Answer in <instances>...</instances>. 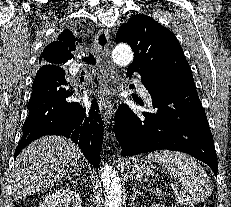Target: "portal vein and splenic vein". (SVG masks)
I'll return each instance as SVG.
<instances>
[{
	"label": "portal vein and splenic vein",
	"mask_w": 231,
	"mask_h": 207,
	"mask_svg": "<svg viewBox=\"0 0 231 207\" xmlns=\"http://www.w3.org/2000/svg\"><path fill=\"white\" fill-rule=\"evenodd\" d=\"M172 188H173V189H175V188H176V186H175V185H172Z\"/></svg>",
	"instance_id": "portal-vein-and-splenic-vein-1"
}]
</instances>
